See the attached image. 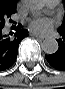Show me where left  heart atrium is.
Wrapping results in <instances>:
<instances>
[{
    "mask_svg": "<svg viewBox=\"0 0 65 89\" xmlns=\"http://www.w3.org/2000/svg\"><path fill=\"white\" fill-rule=\"evenodd\" d=\"M52 20L46 17H39L36 19H33L30 22V27L32 30L36 31V32H47L51 29L52 27Z\"/></svg>",
    "mask_w": 65,
    "mask_h": 89,
    "instance_id": "left-heart-atrium-1",
    "label": "left heart atrium"
}]
</instances>
